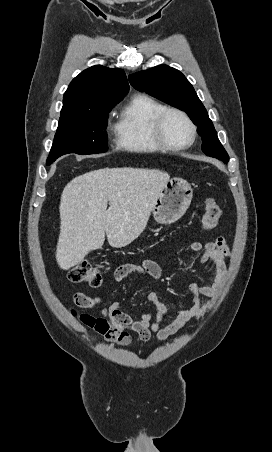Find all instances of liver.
Segmentation results:
<instances>
[{"label": "liver", "instance_id": "1", "mask_svg": "<svg viewBox=\"0 0 272 452\" xmlns=\"http://www.w3.org/2000/svg\"><path fill=\"white\" fill-rule=\"evenodd\" d=\"M169 179L168 173L156 169L108 167L72 179L63 189L59 206V267L68 270L89 251L100 249L105 234L115 248L138 238Z\"/></svg>", "mask_w": 272, "mask_h": 452}]
</instances>
